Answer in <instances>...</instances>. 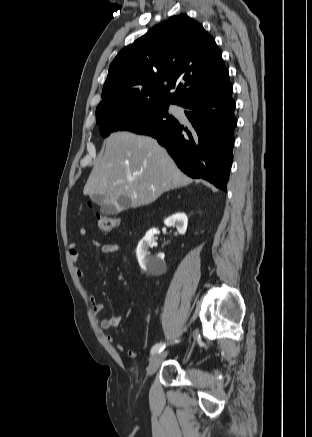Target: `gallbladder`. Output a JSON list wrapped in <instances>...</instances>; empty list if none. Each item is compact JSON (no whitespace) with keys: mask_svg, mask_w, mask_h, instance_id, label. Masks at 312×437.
I'll list each match as a JSON object with an SVG mask.
<instances>
[{"mask_svg":"<svg viewBox=\"0 0 312 437\" xmlns=\"http://www.w3.org/2000/svg\"><path fill=\"white\" fill-rule=\"evenodd\" d=\"M91 200L101 206V213L105 215H117L121 210L127 209L130 206V200L125 197H120L117 204L110 202L106 196L94 194Z\"/></svg>","mask_w":312,"mask_h":437,"instance_id":"1","label":"gallbladder"}]
</instances>
